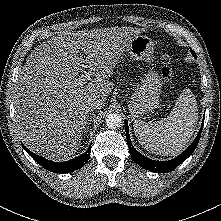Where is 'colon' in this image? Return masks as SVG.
<instances>
[{
	"mask_svg": "<svg viewBox=\"0 0 221 221\" xmlns=\"http://www.w3.org/2000/svg\"><path fill=\"white\" fill-rule=\"evenodd\" d=\"M162 63L161 76L165 81H169L173 77V69L171 68L170 62L167 58H164Z\"/></svg>",
	"mask_w": 221,
	"mask_h": 221,
	"instance_id": "1",
	"label": "colon"
}]
</instances>
